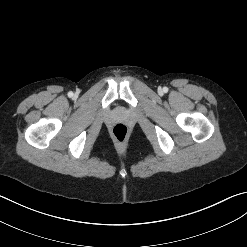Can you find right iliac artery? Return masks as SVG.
<instances>
[{
    "label": "right iliac artery",
    "instance_id": "1",
    "mask_svg": "<svg viewBox=\"0 0 247 247\" xmlns=\"http://www.w3.org/2000/svg\"><path fill=\"white\" fill-rule=\"evenodd\" d=\"M68 96H69V97H72V96H73V92L70 91V92L68 93Z\"/></svg>",
    "mask_w": 247,
    "mask_h": 247
}]
</instances>
